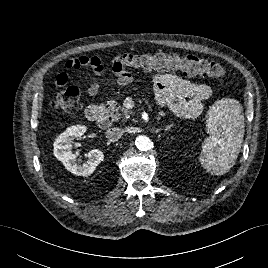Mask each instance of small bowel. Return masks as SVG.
I'll return each mask as SVG.
<instances>
[{
	"label": "small bowel",
	"mask_w": 268,
	"mask_h": 268,
	"mask_svg": "<svg viewBox=\"0 0 268 268\" xmlns=\"http://www.w3.org/2000/svg\"><path fill=\"white\" fill-rule=\"evenodd\" d=\"M66 70L85 68L92 76L87 93L96 96L100 92V79L105 72V65L97 56H80L65 63ZM133 75L129 70H115L112 82L126 86L133 82ZM61 81L66 80L62 75ZM152 87L157 101L167 106L174 114L184 118L199 116L204 102L211 99L213 90L206 83H195L179 77L173 73H158L152 77Z\"/></svg>",
	"instance_id": "1"
}]
</instances>
